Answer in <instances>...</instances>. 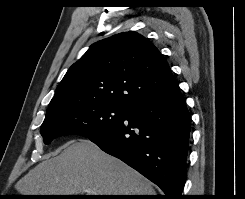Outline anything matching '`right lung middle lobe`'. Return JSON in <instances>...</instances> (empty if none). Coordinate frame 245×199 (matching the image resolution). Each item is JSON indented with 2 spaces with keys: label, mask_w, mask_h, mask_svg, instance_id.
I'll return each instance as SVG.
<instances>
[{
  "label": "right lung middle lobe",
  "mask_w": 245,
  "mask_h": 199,
  "mask_svg": "<svg viewBox=\"0 0 245 199\" xmlns=\"http://www.w3.org/2000/svg\"><path fill=\"white\" fill-rule=\"evenodd\" d=\"M128 108L107 103H87L65 107L46 116L41 125L45 144L64 135L93 136L118 122Z\"/></svg>",
  "instance_id": "obj_1"
}]
</instances>
